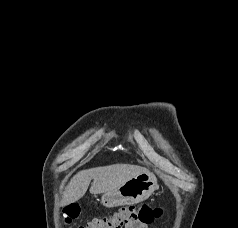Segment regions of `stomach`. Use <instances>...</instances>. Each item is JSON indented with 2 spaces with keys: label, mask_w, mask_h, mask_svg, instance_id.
Instances as JSON below:
<instances>
[{
  "label": "stomach",
  "mask_w": 238,
  "mask_h": 228,
  "mask_svg": "<svg viewBox=\"0 0 238 228\" xmlns=\"http://www.w3.org/2000/svg\"><path fill=\"white\" fill-rule=\"evenodd\" d=\"M157 188V178L148 171L128 180L114 191L104 193L101 202L106 207L136 204L146 200Z\"/></svg>",
  "instance_id": "stomach-1"
}]
</instances>
